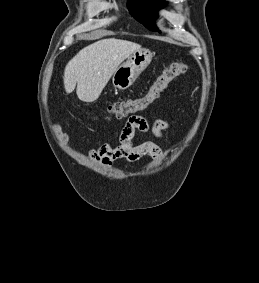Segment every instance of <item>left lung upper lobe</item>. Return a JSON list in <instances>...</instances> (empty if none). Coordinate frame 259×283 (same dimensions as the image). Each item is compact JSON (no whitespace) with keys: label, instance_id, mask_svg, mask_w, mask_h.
Returning a JSON list of instances; mask_svg holds the SVG:
<instances>
[{"label":"left lung upper lobe","instance_id":"1","mask_svg":"<svg viewBox=\"0 0 259 283\" xmlns=\"http://www.w3.org/2000/svg\"><path fill=\"white\" fill-rule=\"evenodd\" d=\"M165 3L162 0H128V9L132 16L148 29L157 31L153 19L157 17L155 10Z\"/></svg>","mask_w":259,"mask_h":283}]
</instances>
